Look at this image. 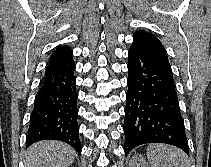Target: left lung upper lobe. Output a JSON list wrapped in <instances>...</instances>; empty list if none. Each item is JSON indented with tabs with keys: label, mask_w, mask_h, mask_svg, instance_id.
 Masks as SVG:
<instances>
[{
	"label": "left lung upper lobe",
	"mask_w": 211,
	"mask_h": 167,
	"mask_svg": "<svg viewBox=\"0 0 211 167\" xmlns=\"http://www.w3.org/2000/svg\"><path fill=\"white\" fill-rule=\"evenodd\" d=\"M130 49L147 53L165 70L172 74L165 48L160 40L152 33L143 30L136 31L133 35V43Z\"/></svg>",
	"instance_id": "5c2ea615"
}]
</instances>
